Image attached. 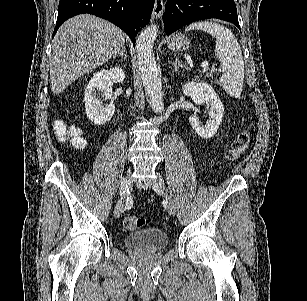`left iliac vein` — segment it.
Instances as JSON below:
<instances>
[{"label": "left iliac vein", "instance_id": "1", "mask_svg": "<svg viewBox=\"0 0 307 301\" xmlns=\"http://www.w3.org/2000/svg\"><path fill=\"white\" fill-rule=\"evenodd\" d=\"M154 190L157 193H160V194L163 195L164 199L167 202V208H168L169 213L171 215H175L176 211H177L175 202H174L173 198L166 192V188H165L163 180L160 176H158L157 181L154 184Z\"/></svg>", "mask_w": 307, "mask_h": 301}]
</instances>
